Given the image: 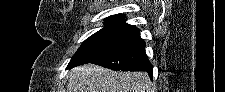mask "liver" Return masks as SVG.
<instances>
[{
  "instance_id": "obj_1",
  "label": "liver",
  "mask_w": 225,
  "mask_h": 92,
  "mask_svg": "<svg viewBox=\"0 0 225 92\" xmlns=\"http://www.w3.org/2000/svg\"><path fill=\"white\" fill-rule=\"evenodd\" d=\"M145 72H115L87 64L70 71L67 92H153Z\"/></svg>"
}]
</instances>
